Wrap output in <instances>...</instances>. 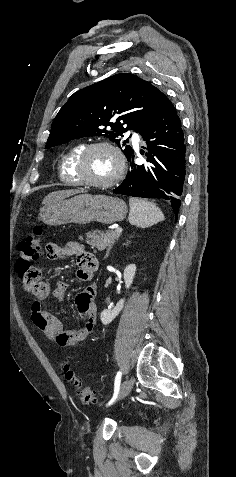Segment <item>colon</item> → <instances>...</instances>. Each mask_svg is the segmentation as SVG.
<instances>
[{"label": "colon", "mask_w": 236, "mask_h": 477, "mask_svg": "<svg viewBox=\"0 0 236 477\" xmlns=\"http://www.w3.org/2000/svg\"><path fill=\"white\" fill-rule=\"evenodd\" d=\"M42 228H34V236L23 240L19 244V254L15 264V270L22 278L25 287L32 294L35 293L41 283V270L38 266L40 260V240ZM66 380L71 383L78 393L79 400L83 404L92 403L95 400V394L92 389L84 385L81 379L71 369L70 365H64Z\"/></svg>", "instance_id": "1"}]
</instances>
